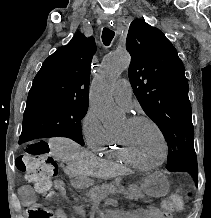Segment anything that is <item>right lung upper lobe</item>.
Segmentation results:
<instances>
[{
    "label": "right lung upper lobe",
    "mask_w": 211,
    "mask_h": 218,
    "mask_svg": "<svg viewBox=\"0 0 211 218\" xmlns=\"http://www.w3.org/2000/svg\"><path fill=\"white\" fill-rule=\"evenodd\" d=\"M96 52L93 37L77 32L72 40L57 49L43 63L34 78L27 103L72 101L89 103V76Z\"/></svg>",
    "instance_id": "right-lung-upper-lobe-1"
}]
</instances>
